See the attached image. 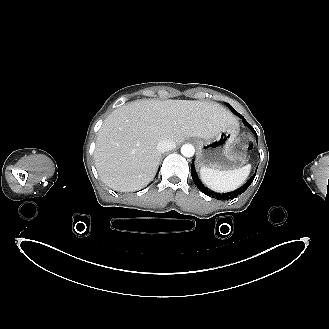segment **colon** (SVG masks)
<instances>
[{
    "instance_id": "colon-1",
    "label": "colon",
    "mask_w": 329,
    "mask_h": 329,
    "mask_svg": "<svg viewBox=\"0 0 329 329\" xmlns=\"http://www.w3.org/2000/svg\"><path fill=\"white\" fill-rule=\"evenodd\" d=\"M243 141H244L248 146H251V144H252V142H251V138H250L248 135L244 136Z\"/></svg>"
}]
</instances>
